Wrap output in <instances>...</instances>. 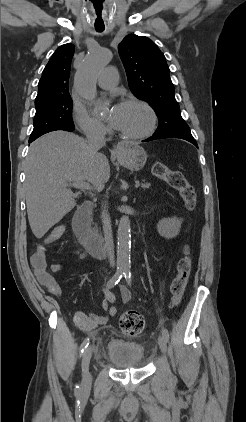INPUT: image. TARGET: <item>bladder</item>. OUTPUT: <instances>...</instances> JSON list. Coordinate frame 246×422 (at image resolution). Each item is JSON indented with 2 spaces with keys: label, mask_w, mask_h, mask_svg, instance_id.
<instances>
[{
  "label": "bladder",
  "mask_w": 246,
  "mask_h": 422,
  "mask_svg": "<svg viewBox=\"0 0 246 422\" xmlns=\"http://www.w3.org/2000/svg\"><path fill=\"white\" fill-rule=\"evenodd\" d=\"M105 352L107 359L119 368H136L145 363V347L137 341L112 338Z\"/></svg>",
  "instance_id": "obj_1"
}]
</instances>
